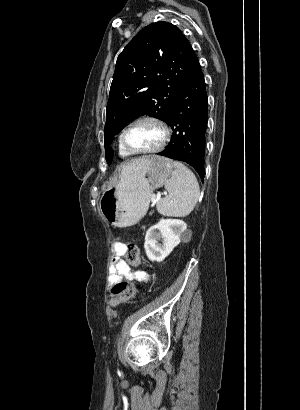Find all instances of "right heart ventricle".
Wrapping results in <instances>:
<instances>
[{
  "label": "right heart ventricle",
  "instance_id": "obj_1",
  "mask_svg": "<svg viewBox=\"0 0 300 410\" xmlns=\"http://www.w3.org/2000/svg\"><path fill=\"white\" fill-rule=\"evenodd\" d=\"M119 154H120V156H121L122 158H128V157L131 156V154H130L128 151H126V150L120 145V142H119Z\"/></svg>",
  "mask_w": 300,
  "mask_h": 410
}]
</instances>
